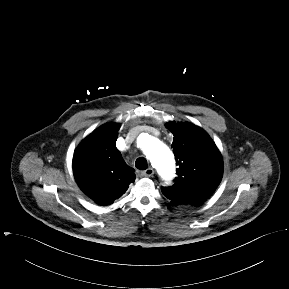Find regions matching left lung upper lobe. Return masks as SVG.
<instances>
[{
  "instance_id": "left-lung-upper-lobe-1",
  "label": "left lung upper lobe",
  "mask_w": 289,
  "mask_h": 289,
  "mask_svg": "<svg viewBox=\"0 0 289 289\" xmlns=\"http://www.w3.org/2000/svg\"><path fill=\"white\" fill-rule=\"evenodd\" d=\"M174 135L173 151L178 177L162 193L177 204L198 206L217 188L223 174L221 154L210 136L192 123H166Z\"/></svg>"
}]
</instances>
